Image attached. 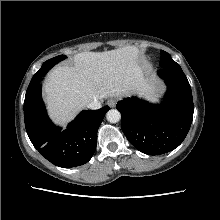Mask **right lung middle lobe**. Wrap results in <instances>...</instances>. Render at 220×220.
<instances>
[{
	"instance_id": "obj_1",
	"label": "right lung middle lobe",
	"mask_w": 220,
	"mask_h": 220,
	"mask_svg": "<svg viewBox=\"0 0 220 220\" xmlns=\"http://www.w3.org/2000/svg\"><path fill=\"white\" fill-rule=\"evenodd\" d=\"M65 58H66L65 55H60V56L54 57L52 59H49V60H47L46 62L43 63L41 69H44V68L48 67V65L50 63L57 64L58 62L64 60ZM40 70L37 73H35V75L33 76L32 80H31V82L28 86L27 92L32 90L35 87L36 83L39 81L38 80L40 78L39 74H41Z\"/></svg>"
}]
</instances>
